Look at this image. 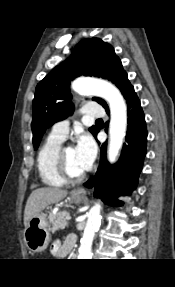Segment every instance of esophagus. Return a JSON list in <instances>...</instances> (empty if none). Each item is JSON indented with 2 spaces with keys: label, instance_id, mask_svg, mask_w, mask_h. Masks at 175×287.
<instances>
[{
  "label": "esophagus",
  "instance_id": "obj_1",
  "mask_svg": "<svg viewBox=\"0 0 175 287\" xmlns=\"http://www.w3.org/2000/svg\"><path fill=\"white\" fill-rule=\"evenodd\" d=\"M74 194L85 195L86 191L83 188H77L73 191Z\"/></svg>",
  "mask_w": 175,
  "mask_h": 287
}]
</instances>
